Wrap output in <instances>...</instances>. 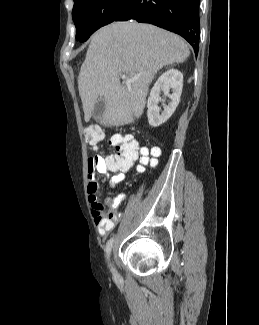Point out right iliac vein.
I'll use <instances>...</instances> for the list:
<instances>
[{
    "label": "right iliac vein",
    "instance_id": "63e3f726",
    "mask_svg": "<svg viewBox=\"0 0 259 325\" xmlns=\"http://www.w3.org/2000/svg\"><path fill=\"white\" fill-rule=\"evenodd\" d=\"M113 274L115 277L117 276V271H116L115 267H113Z\"/></svg>",
    "mask_w": 259,
    "mask_h": 325
}]
</instances>
